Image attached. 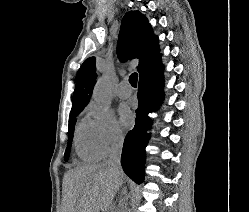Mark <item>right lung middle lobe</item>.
<instances>
[{
  "label": "right lung middle lobe",
  "instance_id": "right-lung-middle-lobe-1",
  "mask_svg": "<svg viewBox=\"0 0 249 212\" xmlns=\"http://www.w3.org/2000/svg\"><path fill=\"white\" fill-rule=\"evenodd\" d=\"M83 109H77V110H71L70 117H69V130H68V145L65 151V161H68L70 150H71V144H72V138H73V132H74V124L76 123V117L81 113Z\"/></svg>",
  "mask_w": 249,
  "mask_h": 212
}]
</instances>
